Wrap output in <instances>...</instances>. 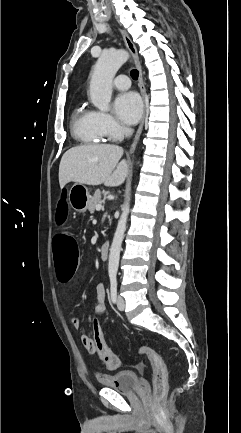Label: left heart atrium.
Wrapping results in <instances>:
<instances>
[{"instance_id":"left-heart-atrium-1","label":"left heart atrium","mask_w":241,"mask_h":433,"mask_svg":"<svg viewBox=\"0 0 241 433\" xmlns=\"http://www.w3.org/2000/svg\"><path fill=\"white\" fill-rule=\"evenodd\" d=\"M113 107L119 120L127 125L137 123L143 111L141 98L135 92L119 94L114 100Z\"/></svg>"}]
</instances>
